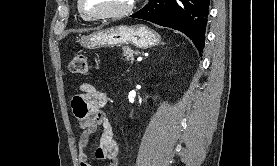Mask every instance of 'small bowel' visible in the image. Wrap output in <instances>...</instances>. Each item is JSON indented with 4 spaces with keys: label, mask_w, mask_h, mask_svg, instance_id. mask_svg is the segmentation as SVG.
<instances>
[{
    "label": "small bowel",
    "mask_w": 277,
    "mask_h": 166,
    "mask_svg": "<svg viewBox=\"0 0 277 166\" xmlns=\"http://www.w3.org/2000/svg\"><path fill=\"white\" fill-rule=\"evenodd\" d=\"M81 90L83 94L72 99V109L77 127L81 130L77 138L79 164L80 166H92L86 149L91 134L101 126L102 133L94 157L97 160H107V166H118V143L114 137L111 124L103 111L108 95L90 84H83Z\"/></svg>",
    "instance_id": "1"
}]
</instances>
